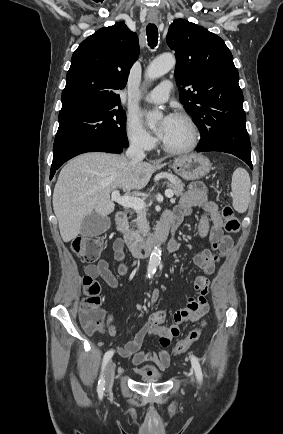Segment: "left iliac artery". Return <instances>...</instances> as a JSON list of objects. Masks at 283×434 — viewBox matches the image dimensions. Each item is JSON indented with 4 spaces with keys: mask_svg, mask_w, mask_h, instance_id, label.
I'll use <instances>...</instances> for the list:
<instances>
[{
    "mask_svg": "<svg viewBox=\"0 0 283 434\" xmlns=\"http://www.w3.org/2000/svg\"><path fill=\"white\" fill-rule=\"evenodd\" d=\"M190 360H191L192 368L195 371V375H196V378H197L198 382L202 383V381H203V374H202V370H201V366L199 364L198 358L196 356L192 355L190 357Z\"/></svg>",
    "mask_w": 283,
    "mask_h": 434,
    "instance_id": "obj_1",
    "label": "left iliac artery"
}]
</instances>
